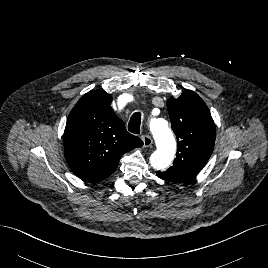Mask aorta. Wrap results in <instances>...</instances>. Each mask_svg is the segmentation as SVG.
Returning a JSON list of instances; mask_svg holds the SVG:
<instances>
[{
  "label": "aorta",
  "instance_id": "762f6f07",
  "mask_svg": "<svg viewBox=\"0 0 268 268\" xmlns=\"http://www.w3.org/2000/svg\"><path fill=\"white\" fill-rule=\"evenodd\" d=\"M151 131L157 150L151 154L150 164L156 170H164L174 159L176 151L175 138L164 119L152 120Z\"/></svg>",
  "mask_w": 268,
  "mask_h": 268
}]
</instances>
